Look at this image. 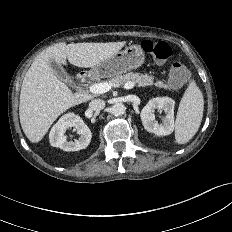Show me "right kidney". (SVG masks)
<instances>
[{
    "mask_svg": "<svg viewBox=\"0 0 232 232\" xmlns=\"http://www.w3.org/2000/svg\"><path fill=\"white\" fill-rule=\"evenodd\" d=\"M71 127H74L80 135L78 140L67 141L64 134L66 129ZM91 138V130L84 121L74 113L63 115L52 127L49 134L50 144L64 151H78L84 149L89 145Z\"/></svg>",
    "mask_w": 232,
    "mask_h": 232,
    "instance_id": "obj_1",
    "label": "right kidney"
}]
</instances>
